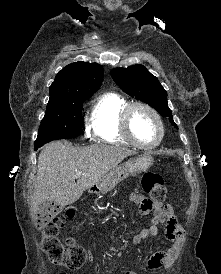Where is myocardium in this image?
<instances>
[{"label": "myocardium", "mask_w": 221, "mask_h": 274, "mask_svg": "<svg viewBox=\"0 0 221 274\" xmlns=\"http://www.w3.org/2000/svg\"><path fill=\"white\" fill-rule=\"evenodd\" d=\"M141 108L148 111L156 120L158 127H159V136L156 142L153 144L147 145L139 142L135 136L133 135L131 129V116L134 110ZM121 129L124 136L136 147L140 149L150 150L156 148L163 140L165 129L162 118L160 114L154 109L151 105L144 103V102H132L130 103L122 112L121 116Z\"/></svg>", "instance_id": "myocardium-1"}]
</instances>
